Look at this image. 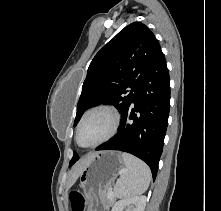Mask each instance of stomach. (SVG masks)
<instances>
[{
    "label": "stomach",
    "mask_w": 221,
    "mask_h": 211,
    "mask_svg": "<svg viewBox=\"0 0 221 211\" xmlns=\"http://www.w3.org/2000/svg\"><path fill=\"white\" fill-rule=\"evenodd\" d=\"M125 164L117 151H102L94 155L80 174V187L88 201L105 198L115 178L122 172Z\"/></svg>",
    "instance_id": "0dacf381"
}]
</instances>
